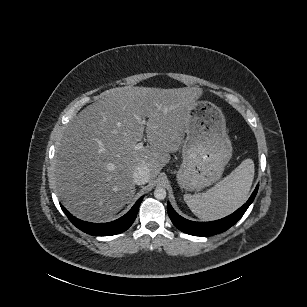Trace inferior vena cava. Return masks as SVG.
Here are the masks:
<instances>
[{
	"label": "inferior vena cava",
	"instance_id": "602c4592",
	"mask_svg": "<svg viewBox=\"0 0 307 307\" xmlns=\"http://www.w3.org/2000/svg\"><path fill=\"white\" fill-rule=\"evenodd\" d=\"M151 173L147 165L141 164L137 166L132 174V179L135 184L143 185L150 179Z\"/></svg>",
	"mask_w": 307,
	"mask_h": 307
}]
</instances>
